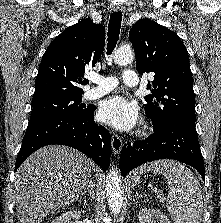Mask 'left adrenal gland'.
<instances>
[{
    "instance_id": "left-adrenal-gland-1",
    "label": "left adrenal gland",
    "mask_w": 221,
    "mask_h": 223,
    "mask_svg": "<svg viewBox=\"0 0 221 223\" xmlns=\"http://www.w3.org/2000/svg\"><path fill=\"white\" fill-rule=\"evenodd\" d=\"M140 196L138 194V192H135V198L133 199L134 202H136L137 200H139Z\"/></svg>"
}]
</instances>
